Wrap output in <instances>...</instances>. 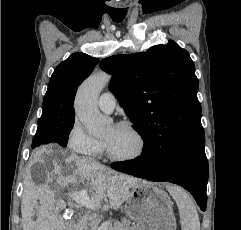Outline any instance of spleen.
<instances>
[{
  "instance_id": "3e777b00",
  "label": "spleen",
  "mask_w": 241,
  "mask_h": 230,
  "mask_svg": "<svg viewBox=\"0 0 241 230\" xmlns=\"http://www.w3.org/2000/svg\"><path fill=\"white\" fill-rule=\"evenodd\" d=\"M167 190L178 206L182 230H200L199 216L191 196L178 186L168 185Z\"/></svg>"
}]
</instances>
